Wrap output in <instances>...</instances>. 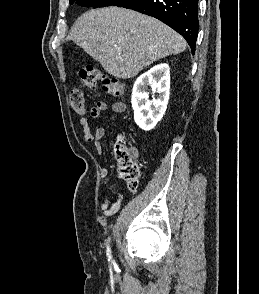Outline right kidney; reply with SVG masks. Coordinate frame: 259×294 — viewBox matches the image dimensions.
<instances>
[{
    "label": "right kidney",
    "instance_id": "obj_1",
    "mask_svg": "<svg viewBox=\"0 0 259 294\" xmlns=\"http://www.w3.org/2000/svg\"><path fill=\"white\" fill-rule=\"evenodd\" d=\"M152 87L153 93H158L157 99L149 101L147 86ZM170 94V68L167 63H161L152 67L140 75L132 90V108L136 124L145 131L153 129L162 119ZM151 105L154 106L151 109Z\"/></svg>",
    "mask_w": 259,
    "mask_h": 294
}]
</instances>
